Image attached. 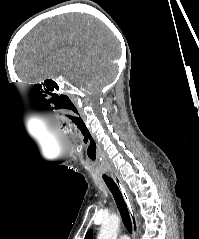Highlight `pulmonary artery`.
Segmentation results:
<instances>
[{
    "instance_id": "pulmonary-artery-1",
    "label": "pulmonary artery",
    "mask_w": 199,
    "mask_h": 239,
    "mask_svg": "<svg viewBox=\"0 0 199 239\" xmlns=\"http://www.w3.org/2000/svg\"><path fill=\"white\" fill-rule=\"evenodd\" d=\"M118 239H129L126 235H121Z\"/></svg>"
}]
</instances>
